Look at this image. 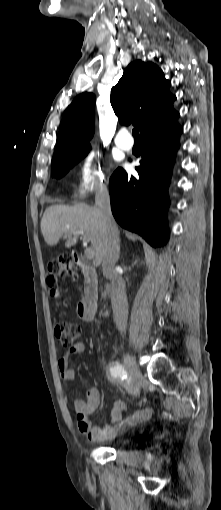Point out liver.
<instances>
[{
  "mask_svg": "<svg viewBox=\"0 0 221 510\" xmlns=\"http://www.w3.org/2000/svg\"><path fill=\"white\" fill-rule=\"evenodd\" d=\"M41 231L45 242L50 246L56 245L65 237L66 248L76 245L80 233L83 232L94 251L93 265L98 267L102 263L108 235L98 207L85 204L49 206L41 219Z\"/></svg>",
  "mask_w": 221,
  "mask_h": 510,
  "instance_id": "obj_1",
  "label": "liver"
}]
</instances>
